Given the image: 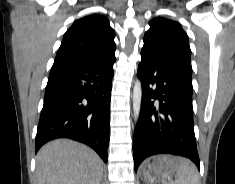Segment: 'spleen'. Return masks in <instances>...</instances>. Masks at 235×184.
I'll return each mask as SVG.
<instances>
[{
    "label": "spleen",
    "mask_w": 235,
    "mask_h": 184,
    "mask_svg": "<svg viewBox=\"0 0 235 184\" xmlns=\"http://www.w3.org/2000/svg\"><path fill=\"white\" fill-rule=\"evenodd\" d=\"M177 162L179 166L174 176L175 180L173 182L163 180L162 184H200L197 168L191 160L177 158Z\"/></svg>",
    "instance_id": "3e777b00"
}]
</instances>
